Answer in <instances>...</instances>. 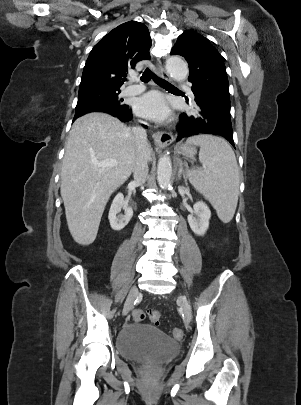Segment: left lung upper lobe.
Segmentation results:
<instances>
[{
    "label": "left lung upper lobe",
    "instance_id": "left-lung-upper-lobe-1",
    "mask_svg": "<svg viewBox=\"0 0 301 405\" xmlns=\"http://www.w3.org/2000/svg\"><path fill=\"white\" fill-rule=\"evenodd\" d=\"M171 55L183 56L189 64L188 80L211 98L230 104L228 78L219 52L204 36L185 30L177 39Z\"/></svg>",
    "mask_w": 301,
    "mask_h": 405
}]
</instances>
